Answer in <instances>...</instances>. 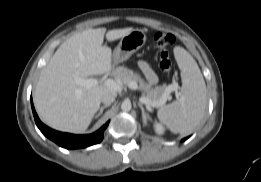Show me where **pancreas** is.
I'll return each mask as SVG.
<instances>
[{
  "mask_svg": "<svg viewBox=\"0 0 261 182\" xmlns=\"http://www.w3.org/2000/svg\"><path fill=\"white\" fill-rule=\"evenodd\" d=\"M113 76L123 84H127L129 81L139 82L140 89L143 91L144 96L155 105H159L163 100V96L167 89L166 86L151 88V86L145 82L138 73H134L132 70L124 66L117 67L113 72Z\"/></svg>",
  "mask_w": 261,
  "mask_h": 182,
  "instance_id": "pancreas-1",
  "label": "pancreas"
}]
</instances>
